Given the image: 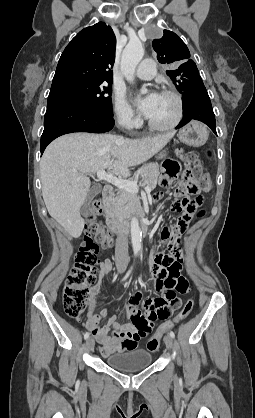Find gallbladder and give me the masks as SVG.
Returning a JSON list of instances; mask_svg holds the SVG:
<instances>
[{
	"instance_id": "obj_1",
	"label": "gallbladder",
	"mask_w": 255,
	"mask_h": 418,
	"mask_svg": "<svg viewBox=\"0 0 255 418\" xmlns=\"http://www.w3.org/2000/svg\"><path fill=\"white\" fill-rule=\"evenodd\" d=\"M101 190H102L101 185H94L89 189L87 196H86L85 203L82 207L83 212L86 211V205L89 204L93 200V198L101 192Z\"/></svg>"
}]
</instances>
